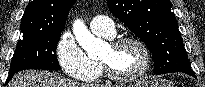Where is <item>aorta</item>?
Returning a JSON list of instances; mask_svg holds the SVG:
<instances>
[{"mask_svg": "<svg viewBox=\"0 0 205 87\" xmlns=\"http://www.w3.org/2000/svg\"><path fill=\"white\" fill-rule=\"evenodd\" d=\"M73 33L78 44L88 53L98 51L105 45L104 41L96 38L80 19L75 20Z\"/></svg>", "mask_w": 205, "mask_h": 87, "instance_id": "aorta-1", "label": "aorta"}]
</instances>
